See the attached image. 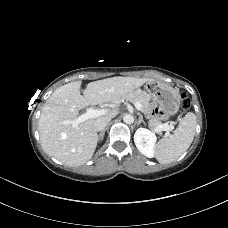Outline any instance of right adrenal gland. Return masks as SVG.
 <instances>
[{"mask_svg": "<svg viewBox=\"0 0 228 228\" xmlns=\"http://www.w3.org/2000/svg\"><path fill=\"white\" fill-rule=\"evenodd\" d=\"M105 135V129L98 135V140L102 141Z\"/></svg>", "mask_w": 228, "mask_h": 228, "instance_id": "2a0ac1e0", "label": "right adrenal gland"}]
</instances>
